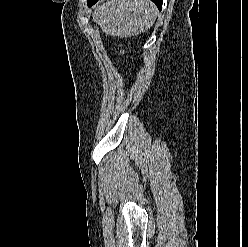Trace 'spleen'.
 <instances>
[{"instance_id":"obj_1","label":"spleen","mask_w":248,"mask_h":247,"mask_svg":"<svg viewBox=\"0 0 248 247\" xmlns=\"http://www.w3.org/2000/svg\"><path fill=\"white\" fill-rule=\"evenodd\" d=\"M92 16L106 34L126 38L148 30L157 9L150 0H110L97 6Z\"/></svg>"}]
</instances>
